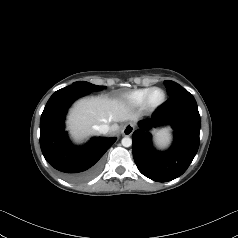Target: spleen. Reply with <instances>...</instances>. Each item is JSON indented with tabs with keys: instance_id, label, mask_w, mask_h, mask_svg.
<instances>
[{
	"instance_id": "3e777b00",
	"label": "spleen",
	"mask_w": 238,
	"mask_h": 238,
	"mask_svg": "<svg viewBox=\"0 0 238 238\" xmlns=\"http://www.w3.org/2000/svg\"><path fill=\"white\" fill-rule=\"evenodd\" d=\"M170 140H171V136H170L169 130L164 129L158 135L156 142L159 146L164 147L169 144Z\"/></svg>"
}]
</instances>
